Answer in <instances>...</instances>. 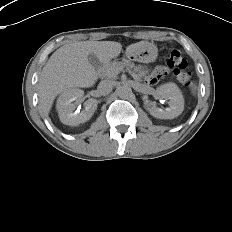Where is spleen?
<instances>
[{
    "label": "spleen",
    "instance_id": "3e777b00",
    "mask_svg": "<svg viewBox=\"0 0 232 232\" xmlns=\"http://www.w3.org/2000/svg\"><path fill=\"white\" fill-rule=\"evenodd\" d=\"M190 88H191L192 94H193V95H196L197 90H198L197 85H196L194 82H191Z\"/></svg>",
    "mask_w": 232,
    "mask_h": 232
}]
</instances>
